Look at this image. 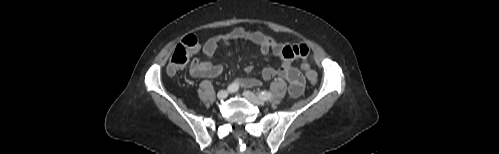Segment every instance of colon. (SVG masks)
Instances as JSON below:
<instances>
[{
  "label": "colon",
  "mask_w": 499,
  "mask_h": 154,
  "mask_svg": "<svg viewBox=\"0 0 499 154\" xmlns=\"http://www.w3.org/2000/svg\"><path fill=\"white\" fill-rule=\"evenodd\" d=\"M199 43L195 36L188 35L186 36L174 49L169 65L168 72L169 74H174L178 69L184 67L190 57L198 50ZM302 70L305 74V77L312 84L317 81V73L310 67L307 62L302 63Z\"/></svg>",
  "instance_id": "5ec220e1"
}]
</instances>
